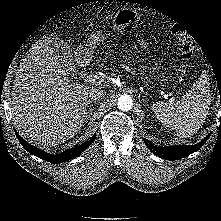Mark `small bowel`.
I'll use <instances>...</instances> for the list:
<instances>
[{"mask_svg": "<svg viewBox=\"0 0 221 221\" xmlns=\"http://www.w3.org/2000/svg\"><path fill=\"white\" fill-rule=\"evenodd\" d=\"M141 44H142V45H145V43H144V42H141Z\"/></svg>", "mask_w": 221, "mask_h": 221, "instance_id": "1", "label": "small bowel"}]
</instances>
